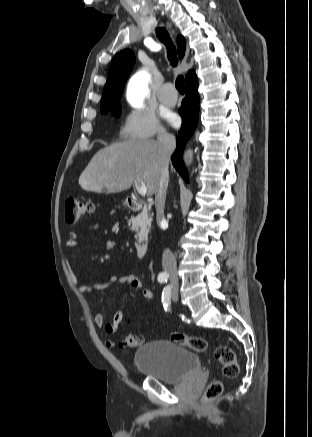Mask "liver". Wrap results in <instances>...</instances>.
Segmentation results:
<instances>
[{
	"label": "liver",
	"mask_w": 312,
	"mask_h": 437,
	"mask_svg": "<svg viewBox=\"0 0 312 437\" xmlns=\"http://www.w3.org/2000/svg\"><path fill=\"white\" fill-rule=\"evenodd\" d=\"M155 140L131 139L99 150L79 177L83 190L118 193L128 190L135 180L146 184L152 196L158 185L162 162Z\"/></svg>",
	"instance_id": "obj_1"
}]
</instances>
